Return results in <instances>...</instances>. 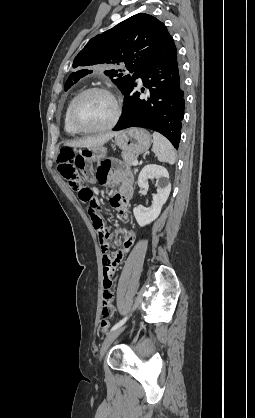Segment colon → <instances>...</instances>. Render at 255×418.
Segmentation results:
<instances>
[{
    "label": "colon",
    "instance_id": "obj_1",
    "mask_svg": "<svg viewBox=\"0 0 255 418\" xmlns=\"http://www.w3.org/2000/svg\"><path fill=\"white\" fill-rule=\"evenodd\" d=\"M57 165L61 176L68 181L70 187L78 193L81 201L88 206V212L95 229L105 227L96 211L99 205L98 198L89 188L84 187L82 184L83 180H92L94 176L93 168L83 158L77 157L70 148H62L60 150ZM108 327L109 322L102 319L100 323L101 330L106 332Z\"/></svg>",
    "mask_w": 255,
    "mask_h": 418
}]
</instances>
